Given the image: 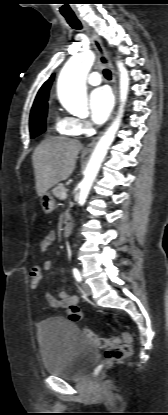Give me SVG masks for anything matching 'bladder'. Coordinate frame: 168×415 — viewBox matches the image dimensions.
I'll list each match as a JSON object with an SVG mask.
<instances>
[{
    "instance_id": "bladder-1",
    "label": "bladder",
    "mask_w": 168,
    "mask_h": 415,
    "mask_svg": "<svg viewBox=\"0 0 168 415\" xmlns=\"http://www.w3.org/2000/svg\"><path fill=\"white\" fill-rule=\"evenodd\" d=\"M40 345L45 371L65 379L79 378L98 356L77 325L64 317L41 322Z\"/></svg>"
}]
</instances>
